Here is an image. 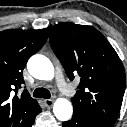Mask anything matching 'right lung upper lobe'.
<instances>
[{
    "instance_id": "obj_1",
    "label": "right lung upper lobe",
    "mask_w": 127,
    "mask_h": 127,
    "mask_svg": "<svg viewBox=\"0 0 127 127\" xmlns=\"http://www.w3.org/2000/svg\"><path fill=\"white\" fill-rule=\"evenodd\" d=\"M47 36V29L0 32V127H32L41 112L26 90L20 96L16 90L25 83L23 69L29 57L41 49Z\"/></svg>"
}]
</instances>
